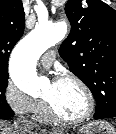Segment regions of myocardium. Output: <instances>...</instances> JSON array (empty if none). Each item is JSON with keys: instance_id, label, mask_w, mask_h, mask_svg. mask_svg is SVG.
I'll list each match as a JSON object with an SVG mask.
<instances>
[{"instance_id": "myocardium-1", "label": "myocardium", "mask_w": 116, "mask_h": 134, "mask_svg": "<svg viewBox=\"0 0 116 134\" xmlns=\"http://www.w3.org/2000/svg\"><path fill=\"white\" fill-rule=\"evenodd\" d=\"M58 81H71L77 84L83 90L86 96L87 108L82 116L71 119V118L62 116L53 107L51 102L48 99L44 98V103H45V106L47 108V111L50 117L53 118L55 121L60 122L62 124H66V125H79V124L86 122L88 119H90L95 110V98L91 89L88 87V85L83 80H81L80 78L72 74L62 75L56 79V82Z\"/></svg>"}]
</instances>
